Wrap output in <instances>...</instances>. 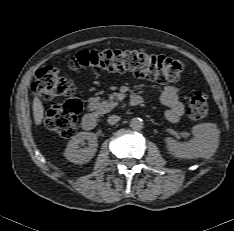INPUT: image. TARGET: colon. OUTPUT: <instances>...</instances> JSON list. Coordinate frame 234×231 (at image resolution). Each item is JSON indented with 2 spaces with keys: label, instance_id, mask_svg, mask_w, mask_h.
Segmentation results:
<instances>
[{
  "label": "colon",
  "instance_id": "1",
  "mask_svg": "<svg viewBox=\"0 0 234 231\" xmlns=\"http://www.w3.org/2000/svg\"><path fill=\"white\" fill-rule=\"evenodd\" d=\"M69 67L72 70L91 69L113 73L130 71L139 78L170 83L179 79L185 64L180 59L162 55L113 49L81 51L71 57ZM32 89L35 94L46 99L69 97L51 107L44 123L49 130L60 136L72 137L76 132L77 118L82 110L81 102L72 97L76 91L74 84L61 77L55 68L47 66L37 71ZM187 112L193 120L203 119L208 112L206 95L200 91L194 92L189 100Z\"/></svg>",
  "mask_w": 234,
  "mask_h": 231
}]
</instances>
